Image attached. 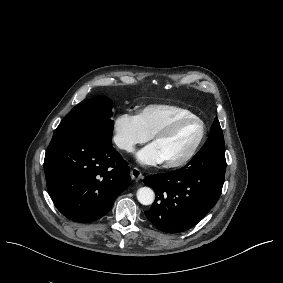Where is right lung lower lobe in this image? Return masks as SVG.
Returning a JSON list of instances; mask_svg holds the SVG:
<instances>
[{"instance_id": "right-lung-lower-lobe-1", "label": "right lung lower lobe", "mask_w": 283, "mask_h": 283, "mask_svg": "<svg viewBox=\"0 0 283 283\" xmlns=\"http://www.w3.org/2000/svg\"><path fill=\"white\" fill-rule=\"evenodd\" d=\"M44 171L57 209L81 223L107 214L130 183L128 163L111 142L86 136L53 137L46 150Z\"/></svg>"}]
</instances>
